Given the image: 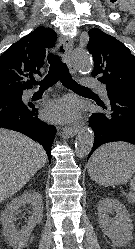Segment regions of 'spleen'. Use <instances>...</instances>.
I'll list each match as a JSON object with an SVG mask.
<instances>
[{
    "label": "spleen",
    "instance_id": "obj_1",
    "mask_svg": "<svg viewBox=\"0 0 135 249\" xmlns=\"http://www.w3.org/2000/svg\"><path fill=\"white\" fill-rule=\"evenodd\" d=\"M120 153L122 155L131 157L135 159V146L127 143H112L101 147L92 156L90 161H95L99 156L103 155L104 151ZM130 187L135 191V177L130 181Z\"/></svg>",
    "mask_w": 135,
    "mask_h": 249
}]
</instances>
